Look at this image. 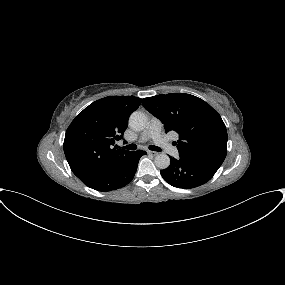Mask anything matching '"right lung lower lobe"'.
I'll return each instance as SVG.
<instances>
[{
    "mask_svg": "<svg viewBox=\"0 0 285 285\" xmlns=\"http://www.w3.org/2000/svg\"><path fill=\"white\" fill-rule=\"evenodd\" d=\"M145 154L146 152L141 150L132 152L127 160H125L117 169L85 184L92 189L102 192L122 188L132 181L139 159Z\"/></svg>",
    "mask_w": 285,
    "mask_h": 285,
    "instance_id": "98d812e1",
    "label": "right lung lower lobe"
}]
</instances>
